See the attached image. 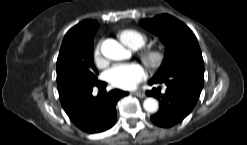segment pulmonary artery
<instances>
[{
  "instance_id": "e3ab8cb5",
  "label": "pulmonary artery",
  "mask_w": 247,
  "mask_h": 145,
  "mask_svg": "<svg viewBox=\"0 0 247 145\" xmlns=\"http://www.w3.org/2000/svg\"><path fill=\"white\" fill-rule=\"evenodd\" d=\"M133 49H137L138 47H136V46H134V47H132Z\"/></svg>"
}]
</instances>
